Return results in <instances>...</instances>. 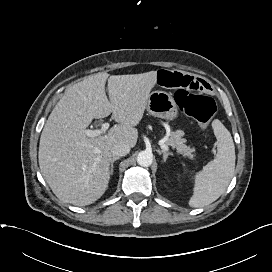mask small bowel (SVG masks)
Returning a JSON list of instances; mask_svg holds the SVG:
<instances>
[{
    "instance_id": "small-bowel-1",
    "label": "small bowel",
    "mask_w": 272,
    "mask_h": 272,
    "mask_svg": "<svg viewBox=\"0 0 272 272\" xmlns=\"http://www.w3.org/2000/svg\"><path fill=\"white\" fill-rule=\"evenodd\" d=\"M157 81L161 86L169 89L205 91L210 88L205 80L175 70H160Z\"/></svg>"
}]
</instances>
